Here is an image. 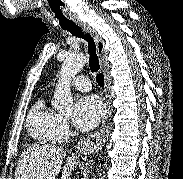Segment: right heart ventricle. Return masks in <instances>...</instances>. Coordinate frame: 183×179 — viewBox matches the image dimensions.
<instances>
[{"label": "right heart ventricle", "instance_id": "e07e8e85", "mask_svg": "<svg viewBox=\"0 0 183 179\" xmlns=\"http://www.w3.org/2000/svg\"><path fill=\"white\" fill-rule=\"evenodd\" d=\"M57 114L44 97L39 98L30 110L27 119L29 133L40 142H50L54 138L53 123Z\"/></svg>", "mask_w": 183, "mask_h": 179}]
</instances>
